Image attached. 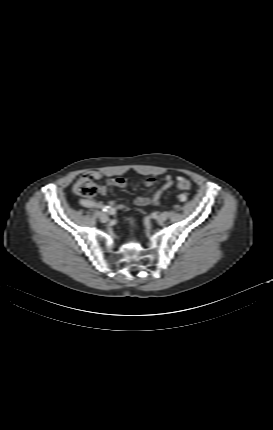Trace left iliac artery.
I'll return each instance as SVG.
<instances>
[{"mask_svg": "<svg viewBox=\"0 0 273 430\" xmlns=\"http://www.w3.org/2000/svg\"><path fill=\"white\" fill-rule=\"evenodd\" d=\"M187 200H188L187 195H185V194L179 195V202L180 203H185V202H187Z\"/></svg>", "mask_w": 273, "mask_h": 430, "instance_id": "left-iliac-artery-1", "label": "left iliac artery"}]
</instances>
